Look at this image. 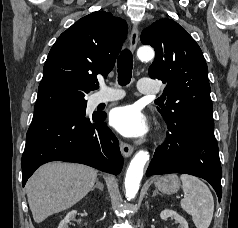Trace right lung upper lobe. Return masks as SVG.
<instances>
[{"label":"right lung upper lobe","mask_w":238,"mask_h":228,"mask_svg":"<svg viewBox=\"0 0 238 228\" xmlns=\"http://www.w3.org/2000/svg\"><path fill=\"white\" fill-rule=\"evenodd\" d=\"M127 29L123 19L96 11L63 32L45 62L34 115L85 102L96 75L106 76L112 70Z\"/></svg>","instance_id":"1"}]
</instances>
